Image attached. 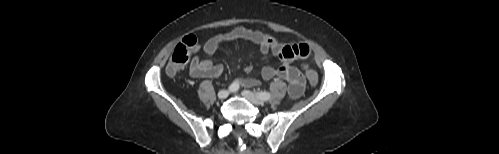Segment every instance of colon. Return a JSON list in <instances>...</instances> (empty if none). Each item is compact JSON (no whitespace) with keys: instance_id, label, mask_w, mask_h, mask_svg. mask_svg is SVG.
I'll list each match as a JSON object with an SVG mask.
<instances>
[{"instance_id":"colon-1","label":"colon","mask_w":499,"mask_h":154,"mask_svg":"<svg viewBox=\"0 0 499 154\" xmlns=\"http://www.w3.org/2000/svg\"><path fill=\"white\" fill-rule=\"evenodd\" d=\"M198 48V41L196 37L189 35L185 37L177 46L174 48L171 55L170 61L167 66V73L169 75H174L179 69L184 67L189 61L190 56ZM305 76L311 85H316L318 81V75L315 70L311 69L308 65L303 66Z\"/></svg>"}]
</instances>
